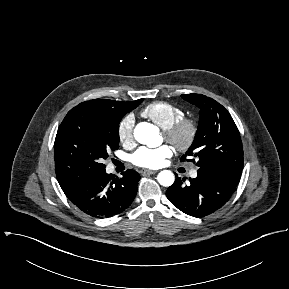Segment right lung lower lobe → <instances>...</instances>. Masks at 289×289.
Listing matches in <instances>:
<instances>
[{"mask_svg": "<svg viewBox=\"0 0 289 289\" xmlns=\"http://www.w3.org/2000/svg\"><path fill=\"white\" fill-rule=\"evenodd\" d=\"M122 175L119 179L104 171L65 192V195L87 215L98 218L115 216L131 205L140 179L134 170H127Z\"/></svg>", "mask_w": 289, "mask_h": 289, "instance_id": "right-lung-lower-lobe-1", "label": "right lung lower lobe"}]
</instances>
